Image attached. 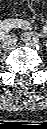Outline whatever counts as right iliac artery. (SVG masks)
<instances>
[{
    "label": "right iliac artery",
    "mask_w": 47,
    "mask_h": 129,
    "mask_svg": "<svg viewBox=\"0 0 47 129\" xmlns=\"http://www.w3.org/2000/svg\"><path fill=\"white\" fill-rule=\"evenodd\" d=\"M13 28L31 29L30 24L22 19H8L0 24V36L5 37Z\"/></svg>",
    "instance_id": "right-iliac-artery-1"
}]
</instances>
